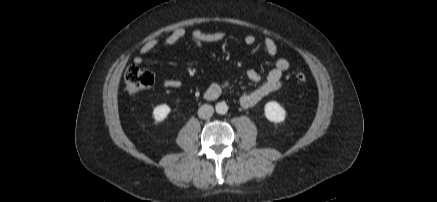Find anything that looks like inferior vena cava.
<instances>
[{
    "label": "inferior vena cava",
    "instance_id": "obj_1",
    "mask_svg": "<svg viewBox=\"0 0 437 202\" xmlns=\"http://www.w3.org/2000/svg\"><path fill=\"white\" fill-rule=\"evenodd\" d=\"M214 113V109L211 105L204 104L198 110V116L201 119H209Z\"/></svg>",
    "mask_w": 437,
    "mask_h": 202
}]
</instances>
